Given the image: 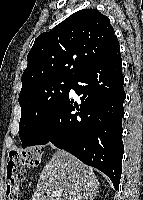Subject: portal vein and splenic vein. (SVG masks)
Instances as JSON below:
<instances>
[{"label":"portal vein and splenic vein","instance_id":"obj_1","mask_svg":"<svg viewBox=\"0 0 143 200\" xmlns=\"http://www.w3.org/2000/svg\"><path fill=\"white\" fill-rule=\"evenodd\" d=\"M54 196H59V194H57L56 192L53 193Z\"/></svg>","mask_w":143,"mask_h":200}]
</instances>
